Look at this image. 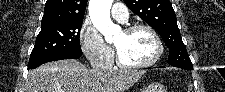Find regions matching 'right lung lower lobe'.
Returning a JSON list of instances; mask_svg holds the SVG:
<instances>
[{
    "label": "right lung lower lobe",
    "instance_id": "98d812e1",
    "mask_svg": "<svg viewBox=\"0 0 225 92\" xmlns=\"http://www.w3.org/2000/svg\"><path fill=\"white\" fill-rule=\"evenodd\" d=\"M82 55V51H65L61 53L51 54L39 58H34L29 60L28 63V69H34L38 66L50 62V61H56V60H62V59H77Z\"/></svg>",
    "mask_w": 225,
    "mask_h": 92
}]
</instances>
